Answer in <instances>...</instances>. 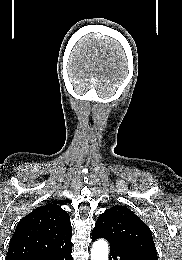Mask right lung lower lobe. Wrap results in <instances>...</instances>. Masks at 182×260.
Instances as JSON below:
<instances>
[{"label":"right lung lower lobe","instance_id":"obj_1","mask_svg":"<svg viewBox=\"0 0 182 260\" xmlns=\"http://www.w3.org/2000/svg\"><path fill=\"white\" fill-rule=\"evenodd\" d=\"M72 246L53 252L51 254H46L37 258H32L31 260H73V257L71 256Z\"/></svg>","mask_w":182,"mask_h":260}]
</instances>
